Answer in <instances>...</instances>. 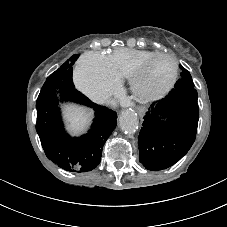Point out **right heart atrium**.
Here are the masks:
<instances>
[{
  "label": "right heart atrium",
  "mask_w": 227,
  "mask_h": 227,
  "mask_svg": "<svg viewBox=\"0 0 227 227\" xmlns=\"http://www.w3.org/2000/svg\"><path fill=\"white\" fill-rule=\"evenodd\" d=\"M74 79L77 87L89 98L101 102L115 93L121 80L111 69L105 55L90 51L79 60Z\"/></svg>",
  "instance_id": "d8ad5b80"
}]
</instances>
